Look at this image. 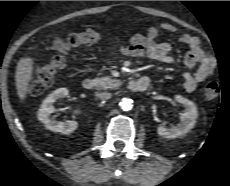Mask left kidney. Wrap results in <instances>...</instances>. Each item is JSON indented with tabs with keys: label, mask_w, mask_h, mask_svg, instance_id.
Masks as SVG:
<instances>
[{
	"label": "left kidney",
	"mask_w": 230,
	"mask_h": 186,
	"mask_svg": "<svg viewBox=\"0 0 230 186\" xmlns=\"http://www.w3.org/2000/svg\"><path fill=\"white\" fill-rule=\"evenodd\" d=\"M175 100L183 104L186 112L181 115V122L178 123L176 126H172L170 128L162 125L158 126V134L165 138H176L189 132L194 127L196 119L198 118L197 107L192 101L180 95H176Z\"/></svg>",
	"instance_id": "left-kidney-1"
}]
</instances>
